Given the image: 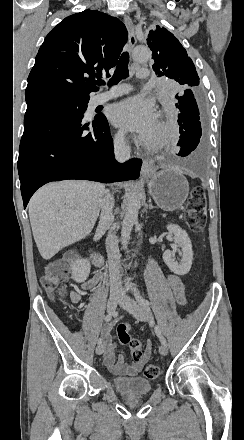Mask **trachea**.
<instances>
[{"label":"trachea","instance_id":"obj_1","mask_svg":"<svg viewBox=\"0 0 244 440\" xmlns=\"http://www.w3.org/2000/svg\"><path fill=\"white\" fill-rule=\"evenodd\" d=\"M128 63H129V54L128 52H124L117 64L115 73L113 77L109 80V85H117L123 78L128 77ZM97 85H104L103 80H97Z\"/></svg>","mask_w":244,"mask_h":440}]
</instances>
